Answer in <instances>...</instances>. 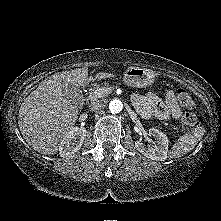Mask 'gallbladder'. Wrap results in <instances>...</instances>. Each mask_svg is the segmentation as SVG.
<instances>
[{"label":"gallbladder","instance_id":"gallbladder-1","mask_svg":"<svg viewBox=\"0 0 221 221\" xmlns=\"http://www.w3.org/2000/svg\"><path fill=\"white\" fill-rule=\"evenodd\" d=\"M66 96L74 104H79L81 102V97H82L81 91L75 85H72V84L69 85L68 92H67Z\"/></svg>","mask_w":221,"mask_h":221}]
</instances>
